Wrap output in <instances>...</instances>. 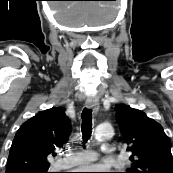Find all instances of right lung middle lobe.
<instances>
[{"mask_svg":"<svg viewBox=\"0 0 173 173\" xmlns=\"http://www.w3.org/2000/svg\"><path fill=\"white\" fill-rule=\"evenodd\" d=\"M48 169H49V168L40 169V170L32 171V173H49V172H48Z\"/></svg>","mask_w":173,"mask_h":173,"instance_id":"dd1d6c3e","label":"right lung middle lobe"}]
</instances>
